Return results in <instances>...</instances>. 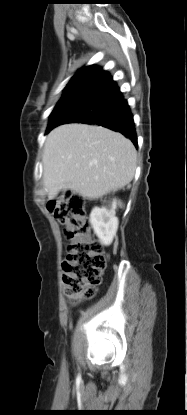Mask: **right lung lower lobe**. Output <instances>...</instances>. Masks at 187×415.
<instances>
[{
  "instance_id": "1",
  "label": "right lung lower lobe",
  "mask_w": 187,
  "mask_h": 415,
  "mask_svg": "<svg viewBox=\"0 0 187 415\" xmlns=\"http://www.w3.org/2000/svg\"><path fill=\"white\" fill-rule=\"evenodd\" d=\"M66 123L97 124L120 132L138 147L133 115L112 76L101 68L78 82L53 110L46 132Z\"/></svg>"
}]
</instances>
